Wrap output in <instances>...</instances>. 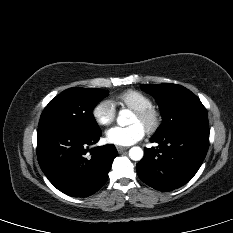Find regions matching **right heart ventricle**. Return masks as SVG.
<instances>
[{
    "instance_id": "1",
    "label": "right heart ventricle",
    "mask_w": 233,
    "mask_h": 233,
    "mask_svg": "<svg viewBox=\"0 0 233 233\" xmlns=\"http://www.w3.org/2000/svg\"><path fill=\"white\" fill-rule=\"evenodd\" d=\"M116 100L121 105L133 110L139 111L146 108H150L153 105V102L149 96L144 94L141 91L129 89L120 93Z\"/></svg>"
}]
</instances>
